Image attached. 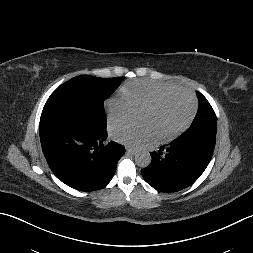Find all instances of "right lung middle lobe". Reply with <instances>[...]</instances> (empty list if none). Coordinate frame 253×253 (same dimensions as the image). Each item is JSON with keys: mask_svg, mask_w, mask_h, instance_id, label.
Returning <instances> with one entry per match:
<instances>
[{"mask_svg": "<svg viewBox=\"0 0 253 253\" xmlns=\"http://www.w3.org/2000/svg\"><path fill=\"white\" fill-rule=\"evenodd\" d=\"M122 77L99 78L81 75L58 87L48 98L41 121L67 119L96 130L106 129L103 103L122 82Z\"/></svg>", "mask_w": 253, "mask_h": 253, "instance_id": "dd1d6c3e", "label": "right lung middle lobe"}]
</instances>
